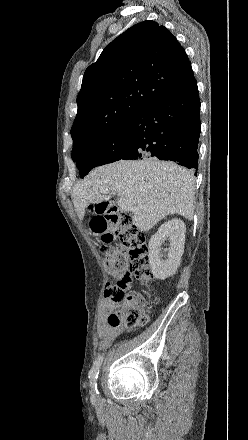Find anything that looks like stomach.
Wrapping results in <instances>:
<instances>
[{"label": "stomach", "instance_id": "1", "mask_svg": "<svg viewBox=\"0 0 248 440\" xmlns=\"http://www.w3.org/2000/svg\"><path fill=\"white\" fill-rule=\"evenodd\" d=\"M89 213H100V204H89ZM89 232H95L96 237H101L102 241H113L114 234L111 229L109 218H88Z\"/></svg>", "mask_w": 248, "mask_h": 440}]
</instances>
